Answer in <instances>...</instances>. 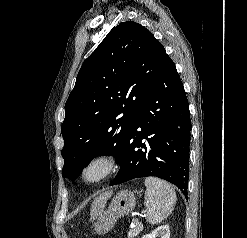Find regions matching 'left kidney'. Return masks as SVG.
I'll use <instances>...</instances> for the list:
<instances>
[{
    "label": "left kidney",
    "mask_w": 247,
    "mask_h": 238,
    "mask_svg": "<svg viewBox=\"0 0 247 238\" xmlns=\"http://www.w3.org/2000/svg\"><path fill=\"white\" fill-rule=\"evenodd\" d=\"M170 238V229L168 225H163L156 228L150 234L144 235L142 238Z\"/></svg>",
    "instance_id": "obj_1"
}]
</instances>
